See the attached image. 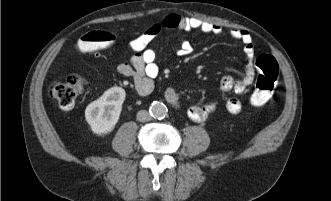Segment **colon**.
Wrapping results in <instances>:
<instances>
[{"label":"colon","mask_w":331,"mask_h":201,"mask_svg":"<svg viewBox=\"0 0 331 201\" xmlns=\"http://www.w3.org/2000/svg\"><path fill=\"white\" fill-rule=\"evenodd\" d=\"M116 41L111 32L94 30L83 35L77 42V49L83 53H94L109 48ZM258 76L251 95L253 106L266 104L273 96L278 80V64L268 54H261L256 59ZM85 80L81 75L72 74L66 79L54 82L50 87L51 96L63 110L74 108L84 88Z\"/></svg>","instance_id":"colon-1"}]
</instances>
